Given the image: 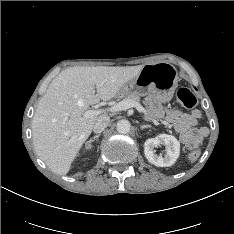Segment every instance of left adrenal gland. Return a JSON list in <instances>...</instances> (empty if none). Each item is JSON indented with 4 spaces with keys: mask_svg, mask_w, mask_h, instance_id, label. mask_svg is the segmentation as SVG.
Listing matches in <instances>:
<instances>
[{
    "mask_svg": "<svg viewBox=\"0 0 234 234\" xmlns=\"http://www.w3.org/2000/svg\"><path fill=\"white\" fill-rule=\"evenodd\" d=\"M140 128L143 130L145 128H151V126L150 125H142V126H140Z\"/></svg>",
    "mask_w": 234,
    "mask_h": 234,
    "instance_id": "1",
    "label": "left adrenal gland"
}]
</instances>
